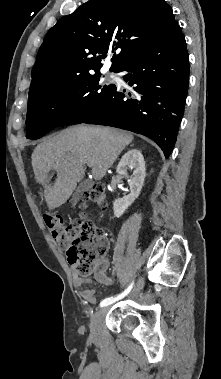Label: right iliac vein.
Listing matches in <instances>:
<instances>
[{
  "label": "right iliac vein",
  "instance_id": "1",
  "mask_svg": "<svg viewBox=\"0 0 221 379\" xmlns=\"http://www.w3.org/2000/svg\"><path fill=\"white\" fill-rule=\"evenodd\" d=\"M142 287V283L138 285V288L136 289V292L139 291ZM108 308H101L97 310V312L92 316L91 323H90V332L91 336L93 338H97L100 334L101 329V322L107 312Z\"/></svg>",
  "mask_w": 221,
  "mask_h": 379
}]
</instances>
